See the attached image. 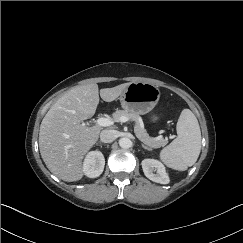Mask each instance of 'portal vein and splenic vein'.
I'll return each mask as SVG.
<instances>
[{"instance_id":"1","label":"portal vein and splenic vein","mask_w":243,"mask_h":243,"mask_svg":"<svg viewBox=\"0 0 243 243\" xmlns=\"http://www.w3.org/2000/svg\"><path fill=\"white\" fill-rule=\"evenodd\" d=\"M119 121H120V122H128V121H130V119L127 118V117H121ZM96 124H97L98 126L108 127V126L113 125V124H114V121L111 120V119H109V118L101 117V118H98V119L96 120ZM83 125H85V124L83 123Z\"/></svg>"}]
</instances>
